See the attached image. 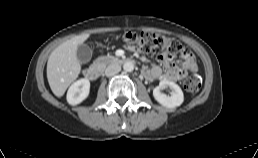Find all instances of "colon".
Segmentation results:
<instances>
[{"mask_svg": "<svg viewBox=\"0 0 258 158\" xmlns=\"http://www.w3.org/2000/svg\"><path fill=\"white\" fill-rule=\"evenodd\" d=\"M123 41L131 48L150 53H167L169 55L186 56L190 52L177 40L159 34L127 32L122 36ZM184 89L189 93H197L202 86L199 75H191L184 81Z\"/></svg>", "mask_w": 258, "mask_h": 158, "instance_id": "colon-1", "label": "colon"}]
</instances>
